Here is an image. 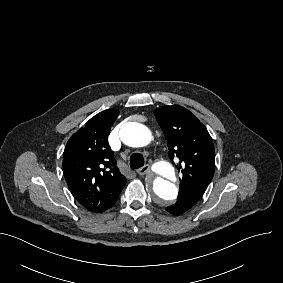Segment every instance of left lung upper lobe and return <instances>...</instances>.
Wrapping results in <instances>:
<instances>
[{
    "label": "left lung upper lobe",
    "instance_id": "obj_1",
    "mask_svg": "<svg viewBox=\"0 0 283 283\" xmlns=\"http://www.w3.org/2000/svg\"><path fill=\"white\" fill-rule=\"evenodd\" d=\"M155 117L168 141V155L179 158L180 181L178 198L201 199L215 170V151L206 127L187 109L179 105L155 110Z\"/></svg>",
    "mask_w": 283,
    "mask_h": 283
}]
</instances>
